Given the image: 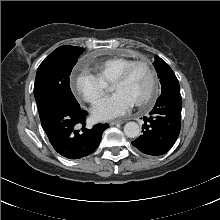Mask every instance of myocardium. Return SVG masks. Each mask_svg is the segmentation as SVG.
<instances>
[{
  "label": "myocardium",
  "mask_w": 220,
  "mask_h": 220,
  "mask_svg": "<svg viewBox=\"0 0 220 220\" xmlns=\"http://www.w3.org/2000/svg\"><path fill=\"white\" fill-rule=\"evenodd\" d=\"M139 67L145 68L150 77V88L147 95L142 100L135 103L136 106L143 107L152 103L155 100L158 90L157 76L152 64L149 61L147 60L134 61L116 78L114 84L123 83L127 81L134 72V70Z\"/></svg>",
  "instance_id": "1"
}]
</instances>
